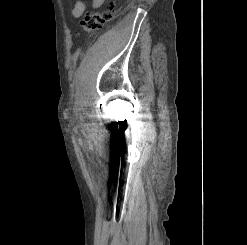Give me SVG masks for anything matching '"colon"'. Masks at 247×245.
I'll use <instances>...</instances> for the list:
<instances>
[{
	"label": "colon",
	"instance_id": "1",
	"mask_svg": "<svg viewBox=\"0 0 247 245\" xmlns=\"http://www.w3.org/2000/svg\"><path fill=\"white\" fill-rule=\"evenodd\" d=\"M114 10V3L109 2L97 11L87 12L80 21L82 30L87 33L97 31L112 19Z\"/></svg>",
	"mask_w": 247,
	"mask_h": 245
}]
</instances>
